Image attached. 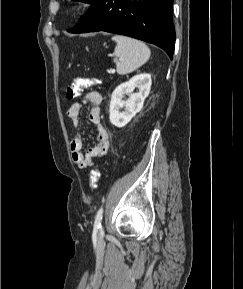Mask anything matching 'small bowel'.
<instances>
[{"label":"small bowel","instance_id":"small-bowel-1","mask_svg":"<svg viewBox=\"0 0 243 289\" xmlns=\"http://www.w3.org/2000/svg\"><path fill=\"white\" fill-rule=\"evenodd\" d=\"M92 105L89 111V121L97 127V142L86 152L82 151L83 142L80 136H75L70 142V151L73 162L80 168L86 169L93 165V159L105 155L109 148V133L101 123L102 95L97 91H91L82 97L80 102L73 103L67 110V115L75 127L80 120V110L83 104Z\"/></svg>","mask_w":243,"mask_h":289}]
</instances>
